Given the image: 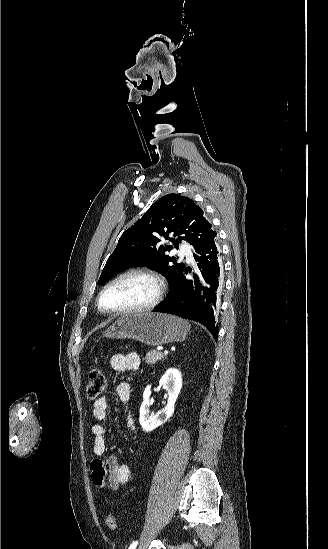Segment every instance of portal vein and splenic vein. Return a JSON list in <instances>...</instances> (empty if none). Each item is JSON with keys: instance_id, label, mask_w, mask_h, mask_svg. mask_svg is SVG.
<instances>
[{"instance_id": "1", "label": "portal vein and splenic vein", "mask_w": 328, "mask_h": 549, "mask_svg": "<svg viewBox=\"0 0 328 549\" xmlns=\"http://www.w3.org/2000/svg\"><path fill=\"white\" fill-rule=\"evenodd\" d=\"M167 353H168V350H165V355H167Z\"/></svg>"}]
</instances>
